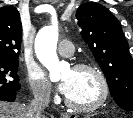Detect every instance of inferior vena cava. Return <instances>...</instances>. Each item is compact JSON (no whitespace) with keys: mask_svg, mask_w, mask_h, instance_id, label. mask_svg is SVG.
<instances>
[{"mask_svg":"<svg viewBox=\"0 0 133 118\" xmlns=\"http://www.w3.org/2000/svg\"><path fill=\"white\" fill-rule=\"evenodd\" d=\"M50 101V91L46 88L34 93V99L28 106L27 118H41V113L48 106Z\"/></svg>","mask_w":133,"mask_h":118,"instance_id":"1","label":"inferior vena cava"}]
</instances>
